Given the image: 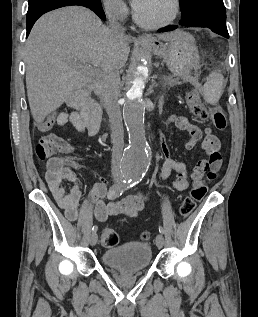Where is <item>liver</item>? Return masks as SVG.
Instances as JSON below:
<instances>
[{"instance_id":"6515ba94","label":"liver","mask_w":258,"mask_h":317,"mask_svg":"<svg viewBox=\"0 0 258 317\" xmlns=\"http://www.w3.org/2000/svg\"><path fill=\"white\" fill-rule=\"evenodd\" d=\"M161 40H177L178 30L156 34ZM132 38L112 34L101 18L85 6H64L36 20L24 48L28 100L35 122L61 106L75 90L92 82L89 68L78 62L104 68L124 66Z\"/></svg>"}]
</instances>
